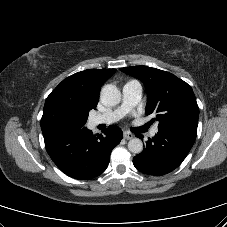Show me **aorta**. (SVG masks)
Returning a JSON list of instances; mask_svg holds the SVG:
<instances>
[{"label":"aorta","mask_w":227,"mask_h":227,"mask_svg":"<svg viewBox=\"0 0 227 227\" xmlns=\"http://www.w3.org/2000/svg\"><path fill=\"white\" fill-rule=\"evenodd\" d=\"M100 99L105 106H115L121 100V92L115 85L107 84L101 90ZM128 149L139 154L143 151V143L139 138H133L128 142Z\"/></svg>","instance_id":"obj_1"}]
</instances>
